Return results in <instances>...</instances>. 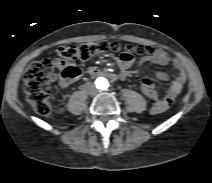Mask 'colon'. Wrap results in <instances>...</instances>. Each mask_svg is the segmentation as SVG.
<instances>
[{"mask_svg": "<svg viewBox=\"0 0 212 183\" xmlns=\"http://www.w3.org/2000/svg\"><path fill=\"white\" fill-rule=\"evenodd\" d=\"M122 46L118 42L98 41L83 43L79 45L62 46L57 53L61 59L45 58L33 63L25 72L23 77L24 92L27 102L33 110L41 116H49L52 106L49 100L51 83L54 80L55 68L61 69V76L66 79H74L79 75V69L72 61L84 60L91 56L107 52H118ZM124 53L153 56L156 49L151 46L124 47ZM141 91L151 100L153 104L158 101V94L150 81H141Z\"/></svg>", "mask_w": 212, "mask_h": 183, "instance_id": "obj_1", "label": "colon"}]
</instances>
